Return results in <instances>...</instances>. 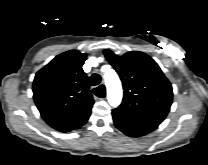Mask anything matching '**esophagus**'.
<instances>
[{"instance_id":"obj_1","label":"esophagus","mask_w":208,"mask_h":165,"mask_svg":"<svg viewBox=\"0 0 208 165\" xmlns=\"http://www.w3.org/2000/svg\"><path fill=\"white\" fill-rule=\"evenodd\" d=\"M100 86H102L105 90V96L103 98H101V99H104V98H106V86H105V84H101Z\"/></svg>"}]
</instances>
